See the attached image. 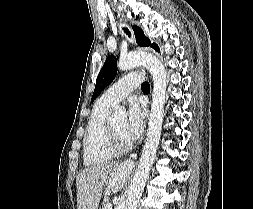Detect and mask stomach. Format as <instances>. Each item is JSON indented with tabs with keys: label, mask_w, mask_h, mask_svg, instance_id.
Listing matches in <instances>:
<instances>
[{
	"label": "stomach",
	"mask_w": 253,
	"mask_h": 209,
	"mask_svg": "<svg viewBox=\"0 0 253 209\" xmlns=\"http://www.w3.org/2000/svg\"><path fill=\"white\" fill-rule=\"evenodd\" d=\"M100 190H110V181H101Z\"/></svg>",
	"instance_id": "stomach-1"
}]
</instances>
